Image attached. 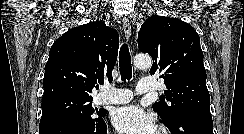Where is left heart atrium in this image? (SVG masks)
Returning <instances> with one entry per match:
<instances>
[{
  "mask_svg": "<svg viewBox=\"0 0 244 134\" xmlns=\"http://www.w3.org/2000/svg\"><path fill=\"white\" fill-rule=\"evenodd\" d=\"M111 119L122 134H156L153 117L140 106L128 105L117 108Z\"/></svg>",
  "mask_w": 244,
  "mask_h": 134,
  "instance_id": "obj_1",
  "label": "left heart atrium"
}]
</instances>
